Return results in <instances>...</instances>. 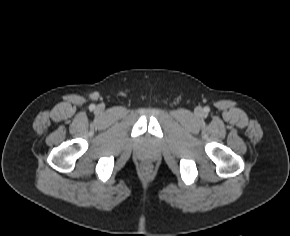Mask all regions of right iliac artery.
Instances as JSON below:
<instances>
[{"label":"right iliac artery","mask_w":290,"mask_h":236,"mask_svg":"<svg viewBox=\"0 0 290 236\" xmlns=\"http://www.w3.org/2000/svg\"><path fill=\"white\" fill-rule=\"evenodd\" d=\"M89 109H90V110H94V109H95V105H93V104L90 105V106H89Z\"/></svg>","instance_id":"1"}]
</instances>
